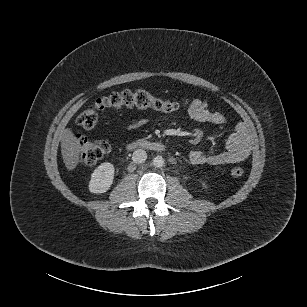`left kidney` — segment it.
Returning <instances> with one entry per match:
<instances>
[{"label": "left kidney", "mask_w": 307, "mask_h": 307, "mask_svg": "<svg viewBox=\"0 0 307 307\" xmlns=\"http://www.w3.org/2000/svg\"><path fill=\"white\" fill-rule=\"evenodd\" d=\"M204 187H206L205 183H203Z\"/></svg>", "instance_id": "obj_1"}]
</instances>
